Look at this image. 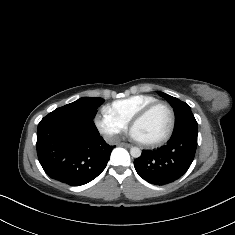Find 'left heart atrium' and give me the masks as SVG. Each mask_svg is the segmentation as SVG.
Returning a JSON list of instances; mask_svg holds the SVG:
<instances>
[{"label":"left heart atrium","instance_id":"obj_1","mask_svg":"<svg viewBox=\"0 0 235 235\" xmlns=\"http://www.w3.org/2000/svg\"><path fill=\"white\" fill-rule=\"evenodd\" d=\"M130 136L133 140L140 142V139H139L138 135L136 134V132L134 131V129L131 130Z\"/></svg>","mask_w":235,"mask_h":235}]
</instances>
